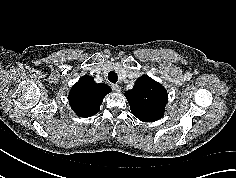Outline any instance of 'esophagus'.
<instances>
[{"label": "esophagus", "instance_id": "34e87169", "mask_svg": "<svg viewBox=\"0 0 236 178\" xmlns=\"http://www.w3.org/2000/svg\"><path fill=\"white\" fill-rule=\"evenodd\" d=\"M112 88L115 92H121V87L118 84H113Z\"/></svg>", "mask_w": 236, "mask_h": 178}]
</instances>
